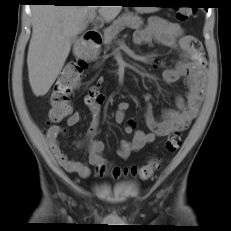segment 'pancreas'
Listing matches in <instances>:
<instances>
[{"label": "pancreas", "mask_w": 231, "mask_h": 231, "mask_svg": "<svg viewBox=\"0 0 231 231\" xmlns=\"http://www.w3.org/2000/svg\"><path fill=\"white\" fill-rule=\"evenodd\" d=\"M143 25V20L133 13H125L118 17L110 27L104 30V44L110 45L118 33L129 27L131 29H139Z\"/></svg>", "instance_id": "obj_1"}]
</instances>
